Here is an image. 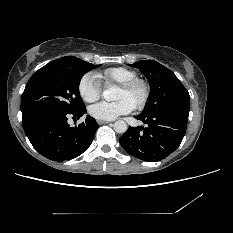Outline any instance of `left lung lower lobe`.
<instances>
[{
	"label": "left lung lower lobe",
	"instance_id": "1",
	"mask_svg": "<svg viewBox=\"0 0 233 233\" xmlns=\"http://www.w3.org/2000/svg\"><path fill=\"white\" fill-rule=\"evenodd\" d=\"M189 111L140 114L135 118L148 126L129 127L119 138L130 155L150 162L164 159L180 145L187 127Z\"/></svg>",
	"mask_w": 233,
	"mask_h": 233
}]
</instances>
